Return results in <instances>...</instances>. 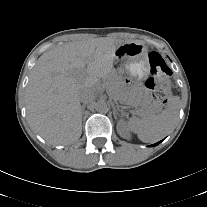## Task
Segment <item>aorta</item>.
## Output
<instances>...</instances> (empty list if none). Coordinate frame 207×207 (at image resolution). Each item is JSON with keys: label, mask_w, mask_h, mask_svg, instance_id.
I'll use <instances>...</instances> for the list:
<instances>
[{"label": "aorta", "mask_w": 207, "mask_h": 207, "mask_svg": "<svg viewBox=\"0 0 207 207\" xmlns=\"http://www.w3.org/2000/svg\"><path fill=\"white\" fill-rule=\"evenodd\" d=\"M95 109L100 113H105L108 111V105L104 100H99L95 104Z\"/></svg>", "instance_id": "762f6f07"}]
</instances>
